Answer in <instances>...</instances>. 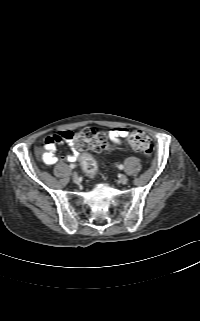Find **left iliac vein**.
Listing matches in <instances>:
<instances>
[{
  "mask_svg": "<svg viewBox=\"0 0 200 321\" xmlns=\"http://www.w3.org/2000/svg\"><path fill=\"white\" fill-rule=\"evenodd\" d=\"M119 181L122 184H126L128 182V178H127L126 175L123 174V175L120 176Z\"/></svg>",
  "mask_w": 200,
  "mask_h": 321,
  "instance_id": "4c4485c4",
  "label": "left iliac vein"
}]
</instances>
